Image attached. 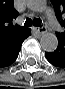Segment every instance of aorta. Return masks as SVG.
<instances>
[{
    "label": "aorta",
    "mask_w": 65,
    "mask_h": 89,
    "mask_svg": "<svg viewBox=\"0 0 65 89\" xmlns=\"http://www.w3.org/2000/svg\"><path fill=\"white\" fill-rule=\"evenodd\" d=\"M29 8L36 12H42L46 9V2L44 0H34L29 3ZM40 46L46 52H54L58 46L56 34L51 32L44 33L40 38Z\"/></svg>",
    "instance_id": "1"
}]
</instances>
